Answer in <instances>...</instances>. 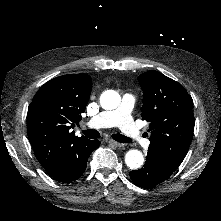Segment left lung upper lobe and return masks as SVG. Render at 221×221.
Here are the masks:
<instances>
[{
    "mask_svg": "<svg viewBox=\"0 0 221 221\" xmlns=\"http://www.w3.org/2000/svg\"><path fill=\"white\" fill-rule=\"evenodd\" d=\"M139 82L144 93L142 118L150 122L148 149L177 169L193 136V100L179 83L160 72H145Z\"/></svg>",
    "mask_w": 221,
    "mask_h": 221,
    "instance_id": "5c2ea615",
    "label": "left lung upper lobe"
}]
</instances>
